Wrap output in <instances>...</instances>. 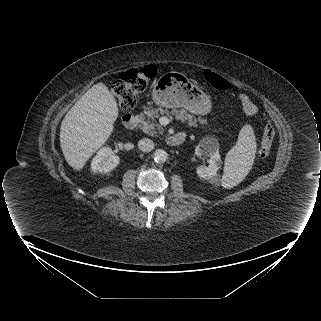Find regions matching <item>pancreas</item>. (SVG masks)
<instances>
[{
    "label": "pancreas",
    "instance_id": "cf45deb5",
    "mask_svg": "<svg viewBox=\"0 0 321 321\" xmlns=\"http://www.w3.org/2000/svg\"><path fill=\"white\" fill-rule=\"evenodd\" d=\"M171 114L175 116L177 120H181L183 123H187L190 127H197V122L202 124V128L207 125V120L198 118L196 119L193 115L187 113L184 109L182 110H172L169 112L167 109H150L140 115V124L139 128L146 134L150 136H159L163 134V127L155 121V118H158L163 114ZM147 117V118H146Z\"/></svg>",
    "mask_w": 321,
    "mask_h": 321
}]
</instances>
